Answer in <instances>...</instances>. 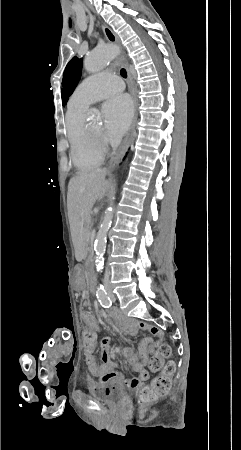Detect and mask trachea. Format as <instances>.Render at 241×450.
Returning a JSON list of instances; mask_svg holds the SVG:
<instances>
[{"label": "trachea", "instance_id": "1", "mask_svg": "<svg viewBox=\"0 0 241 450\" xmlns=\"http://www.w3.org/2000/svg\"><path fill=\"white\" fill-rule=\"evenodd\" d=\"M120 74H121V76H122L123 78H126V77H127V72H126V70H125L124 68L121 69Z\"/></svg>", "mask_w": 241, "mask_h": 450}]
</instances>
